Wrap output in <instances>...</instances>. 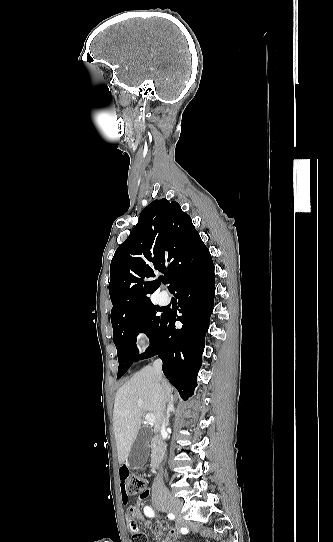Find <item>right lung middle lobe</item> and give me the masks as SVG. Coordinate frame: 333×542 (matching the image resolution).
Wrapping results in <instances>:
<instances>
[{"label": "right lung middle lobe", "mask_w": 333, "mask_h": 542, "mask_svg": "<svg viewBox=\"0 0 333 542\" xmlns=\"http://www.w3.org/2000/svg\"><path fill=\"white\" fill-rule=\"evenodd\" d=\"M158 306L149 303L131 312L111 320L113 326V342L117 348L119 361L118 375L120 378L135 360L145 355L154 343L157 331L163 322L166 312ZM144 332L150 338V347L145 353L139 354L136 346V336Z\"/></svg>", "instance_id": "right-lung-middle-lobe-1"}]
</instances>
